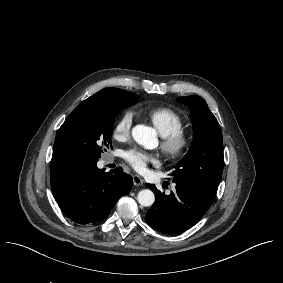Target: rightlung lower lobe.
<instances>
[{
    "label": "right lung lower lobe",
    "mask_w": 283,
    "mask_h": 283,
    "mask_svg": "<svg viewBox=\"0 0 283 283\" xmlns=\"http://www.w3.org/2000/svg\"><path fill=\"white\" fill-rule=\"evenodd\" d=\"M97 161L80 160L50 170L55 200L66 216L80 224L106 218L133 186L132 177L122 168L105 173L97 168Z\"/></svg>",
    "instance_id": "obj_1"
}]
</instances>
